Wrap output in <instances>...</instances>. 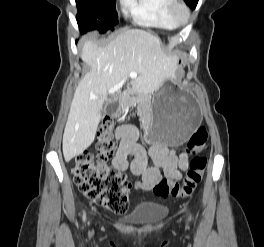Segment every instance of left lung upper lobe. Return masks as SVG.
Returning <instances> with one entry per match:
<instances>
[{"mask_svg":"<svg viewBox=\"0 0 264 247\" xmlns=\"http://www.w3.org/2000/svg\"><path fill=\"white\" fill-rule=\"evenodd\" d=\"M185 2L192 8V9H195L197 3H198V0H185Z\"/></svg>","mask_w":264,"mask_h":247,"instance_id":"left-lung-upper-lobe-1","label":"left lung upper lobe"}]
</instances>
